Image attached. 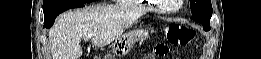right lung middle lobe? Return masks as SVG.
<instances>
[{"label": "right lung middle lobe", "instance_id": "obj_1", "mask_svg": "<svg viewBox=\"0 0 261 59\" xmlns=\"http://www.w3.org/2000/svg\"><path fill=\"white\" fill-rule=\"evenodd\" d=\"M93 0H44L43 2V12L44 16H48L56 11H58L60 8L69 5V4H86L91 3Z\"/></svg>", "mask_w": 261, "mask_h": 59}]
</instances>
